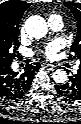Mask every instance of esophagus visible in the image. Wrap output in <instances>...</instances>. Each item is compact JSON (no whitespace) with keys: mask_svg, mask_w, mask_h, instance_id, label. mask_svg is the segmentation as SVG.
Masks as SVG:
<instances>
[{"mask_svg":"<svg viewBox=\"0 0 81 124\" xmlns=\"http://www.w3.org/2000/svg\"><path fill=\"white\" fill-rule=\"evenodd\" d=\"M43 65H44V67H49V68L52 69V70L56 67V65L51 64V63H49V62H45V63H43Z\"/></svg>","mask_w":81,"mask_h":124,"instance_id":"34e87169","label":"esophagus"}]
</instances>
